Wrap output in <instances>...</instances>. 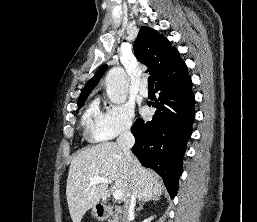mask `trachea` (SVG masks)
<instances>
[{
    "mask_svg": "<svg viewBox=\"0 0 257 222\" xmlns=\"http://www.w3.org/2000/svg\"><path fill=\"white\" fill-rule=\"evenodd\" d=\"M148 87L149 88H154V78H153V76L148 77Z\"/></svg>",
    "mask_w": 257,
    "mask_h": 222,
    "instance_id": "trachea-1",
    "label": "trachea"
}]
</instances>
